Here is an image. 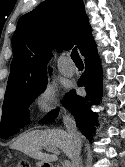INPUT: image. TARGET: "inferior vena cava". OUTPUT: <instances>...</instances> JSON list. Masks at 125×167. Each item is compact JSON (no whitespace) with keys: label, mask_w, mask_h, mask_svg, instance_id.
Returning <instances> with one entry per match:
<instances>
[{"label":"inferior vena cava","mask_w":125,"mask_h":167,"mask_svg":"<svg viewBox=\"0 0 125 167\" xmlns=\"http://www.w3.org/2000/svg\"><path fill=\"white\" fill-rule=\"evenodd\" d=\"M63 123L72 140L73 156L71 167H80V150H81V135L77 130L76 122L69 115L63 116Z\"/></svg>","instance_id":"1"}]
</instances>
